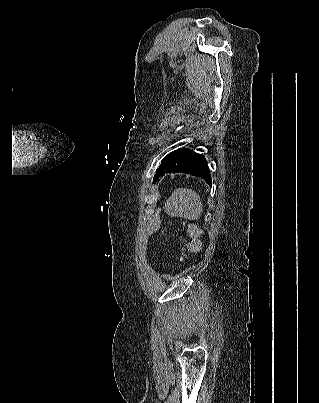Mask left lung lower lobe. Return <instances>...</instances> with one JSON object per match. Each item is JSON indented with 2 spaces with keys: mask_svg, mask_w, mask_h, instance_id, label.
Returning a JSON list of instances; mask_svg holds the SVG:
<instances>
[{
  "mask_svg": "<svg viewBox=\"0 0 319 403\" xmlns=\"http://www.w3.org/2000/svg\"><path fill=\"white\" fill-rule=\"evenodd\" d=\"M178 172L201 177L211 185L210 170L206 159L192 150L178 149L161 176L165 175V173Z\"/></svg>",
  "mask_w": 319,
  "mask_h": 403,
  "instance_id": "left-lung-lower-lobe-1",
  "label": "left lung lower lobe"
}]
</instances>
